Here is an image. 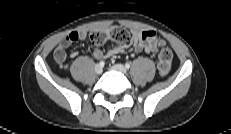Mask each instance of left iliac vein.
I'll list each match as a JSON object with an SVG mask.
<instances>
[{
    "label": "left iliac vein",
    "instance_id": "left-iliac-vein-1",
    "mask_svg": "<svg viewBox=\"0 0 231 134\" xmlns=\"http://www.w3.org/2000/svg\"><path fill=\"white\" fill-rule=\"evenodd\" d=\"M112 70L127 74V69L122 64H115L111 67Z\"/></svg>",
    "mask_w": 231,
    "mask_h": 134
}]
</instances>
